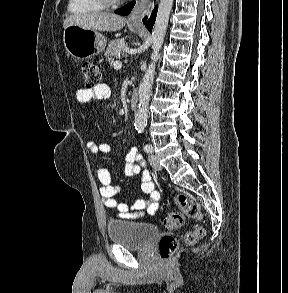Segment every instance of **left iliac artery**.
<instances>
[{
    "mask_svg": "<svg viewBox=\"0 0 288 293\" xmlns=\"http://www.w3.org/2000/svg\"><path fill=\"white\" fill-rule=\"evenodd\" d=\"M139 133H140V131H139ZM144 151H145L146 153H152V151H153V147H152V145H150V144H146V145L144 146Z\"/></svg>",
    "mask_w": 288,
    "mask_h": 293,
    "instance_id": "left-iliac-artery-1",
    "label": "left iliac artery"
}]
</instances>
